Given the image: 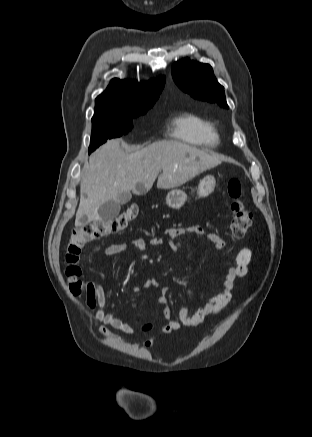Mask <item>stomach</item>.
<instances>
[{
  "mask_svg": "<svg viewBox=\"0 0 312 437\" xmlns=\"http://www.w3.org/2000/svg\"><path fill=\"white\" fill-rule=\"evenodd\" d=\"M216 185L214 176L207 175L199 183L197 189L198 198H205L209 196ZM187 201V194L180 189H173L168 192L166 196V204L172 209H180Z\"/></svg>",
  "mask_w": 312,
  "mask_h": 437,
  "instance_id": "1",
  "label": "stomach"
}]
</instances>
